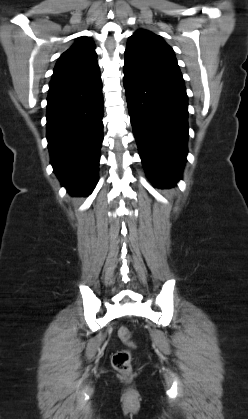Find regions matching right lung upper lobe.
Segmentation results:
<instances>
[{
	"label": "right lung upper lobe",
	"mask_w": 248,
	"mask_h": 419,
	"mask_svg": "<svg viewBox=\"0 0 248 419\" xmlns=\"http://www.w3.org/2000/svg\"><path fill=\"white\" fill-rule=\"evenodd\" d=\"M94 43L86 36L77 38L75 44L65 51L54 68L52 78L80 72L97 63Z\"/></svg>",
	"instance_id": "right-lung-upper-lobe-1"
}]
</instances>
